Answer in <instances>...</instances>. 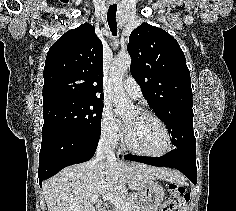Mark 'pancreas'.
<instances>
[{
	"label": "pancreas",
	"mask_w": 236,
	"mask_h": 211,
	"mask_svg": "<svg viewBox=\"0 0 236 211\" xmlns=\"http://www.w3.org/2000/svg\"><path fill=\"white\" fill-rule=\"evenodd\" d=\"M122 199L124 200V202H129V207L127 211H140L139 201L133 194H127L125 196H122ZM112 211H120V210L115 206Z\"/></svg>",
	"instance_id": "pancreas-1"
}]
</instances>
